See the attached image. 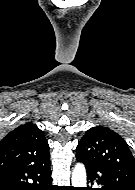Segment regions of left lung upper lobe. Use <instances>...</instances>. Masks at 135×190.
<instances>
[{
  "label": "left lung upper lobe",
  "mask_w": 135,
  "mask_h": 190,
  "mask_svg": "<svg viewBox=\"0 0 135 190\" xmlns=\"http://www.w3.org/2000/svg\"><path fill=\"white\" fill-rule=\"evenodd\" d=\"M76 158L108 173L125 190H135V159L115 131L104 126L87 130L78 143Z\"/></svg>",
  "instance_id": "left-lung-upper-lobe-1"
}]
</instances>
